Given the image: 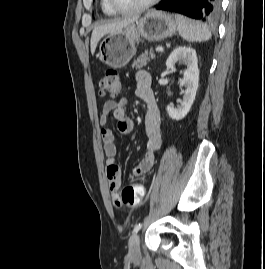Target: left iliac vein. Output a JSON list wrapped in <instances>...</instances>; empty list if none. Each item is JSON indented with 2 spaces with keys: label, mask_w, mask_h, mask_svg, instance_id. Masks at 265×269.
Masks as SVG:
<instances>
[{
  "label": "left iliac vein",
  "mask_w": 265,
  "mask_h": 269,
  "mask_svg": "<svg viewBox=\"0 0 265 269\" xmlns=\"http://www.w3.org/2000/svg\"><path fill=\"white\" fill-rule=\"evenodd\" d=\"M129 257L132 260L140 258V236L137 233L133 234L129 240Z\"/></svg>",
  "instance_id": "4c4485c4"
}]
</instances>
